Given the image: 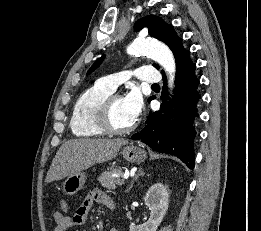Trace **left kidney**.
<instances>
[{
  "label": "left kidney",
  "mask_w": 261,
  "mask_h": 231,
  "mask_svg": "<svg viewBox=\"0 0 261 231\" xmlns=\"http://www.w3.org/2000/svg\"><path fill=\"white\" fill-rule=\"evenodd\" d=\"M145 204L151 211L147 222L139 226H130V231H156L162 222L169 206V193L162 183H156L149 188L145 197Z\"/></svg>",
  "instance_id": "1"
}]
</instances>
